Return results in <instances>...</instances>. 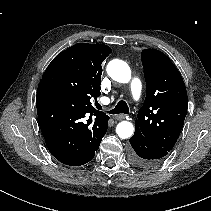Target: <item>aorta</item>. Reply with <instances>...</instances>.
Wrapping results in <instances>:
<instances>
[{"label":"aorta","instance_id":"aorta-1","mask_svg":"<svg viewBox=\"0 0 211 211\" xmlns=\"http://www.w3.org/2000/svg\"><path fill=\"white\" fill-rule=\"evenodd\" d=\"M108 75L120 83H128L131 79V70L128 64L122 60H112L107 65ZM116 133L122 139L131 137L134 133V126L129 121H122L116 126Z\"/></svg>","mask_w":211,"mask_h":211}]
</instances>
